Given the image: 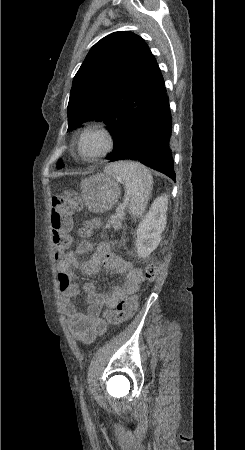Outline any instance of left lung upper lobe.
Masks as SVG:
<instances>
[{
  "label": "left lung upper lobe",
  "mask_w": 245,
  "mask_h": 450,
  "mask_svg": "<svg viewBox=\"0 0 245 450\" xmlns=\"http://www.w3.org/2000/svg\"><path fill=\"white\" fill-rule=\"evenodd\" d=\"M164 85L159 66L144 40L128 31L97 42L76 73L68 103V131L101 119L121 151L144 108ZM59 160L57 168H62Z\"/></svg>",
  "instance_id": "obj_1"
}]
</instances>
